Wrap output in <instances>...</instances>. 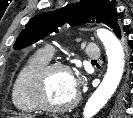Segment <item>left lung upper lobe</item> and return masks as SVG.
I'll return each instance as SVG.
<instances>
[{"label": "left lung upper lobe", "instance_id": "left-lung-upper-lobe-1", "mask_svg": "<svg viewBox=\"0 0 133 118\" xmlns=\"http://www.w3.org/2000/svg\"><path fill=\"white\" fill-rule=\"evenodd\" d=\"M117 12L108 0H81L76 4L52 12H43L32 19L21 31L14 44L15 49H21L33 44L52 32H58V27L64 23L76 26L85 23H105L114 29L117 24ZM126 91L119 92L113 102L114 111L123 110V101Z\"/></svg>", "mask_w": 133, "mask_h": 118}]
</instances>
